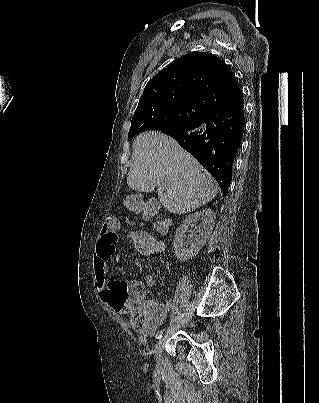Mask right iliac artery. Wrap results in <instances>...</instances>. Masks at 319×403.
Listing matches in <instances>:
<instances>
[{
  "mask_svg": "<svg viewBox=\"0 0 319 403\" xmlns=\"http://www.w3.org/2000/svg\"><path fill=\"white\" fill-rule=\"evenodd\" d=\"M163 334H164V331H158L157 333H156V335H155V338L158 340V339H161L162 338V336H163Z\"/></svg>",
  "mask_w": 319,
  "mask_h": 403,
  "instance_id": "1",
  "label": "right iliac artery"
}]
</instances>
